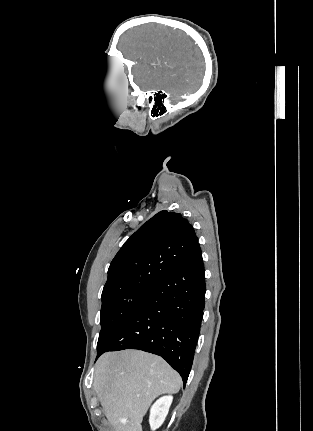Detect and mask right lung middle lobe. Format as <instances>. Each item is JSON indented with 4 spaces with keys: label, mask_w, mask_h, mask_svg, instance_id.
Segmentation results:
<instances>
[{
    "label": "right lung middle lobe",
    "mask_w": 313,
    "mask_h": 431,
    "mask_svg": "<svg viewBox=\"0 0 313 431\" xmlns=\"http://www.w3.org/2000/svg\"><path fill=\"white\" fill-rule=\"evenodd\" d=\"M155 287L124 290L102 296L101 331L97 351Z\"/></svg>",
    "instance_id": "right-lung-middle-lobe-1"
}]
</instances>
